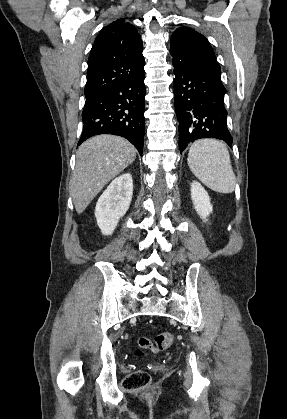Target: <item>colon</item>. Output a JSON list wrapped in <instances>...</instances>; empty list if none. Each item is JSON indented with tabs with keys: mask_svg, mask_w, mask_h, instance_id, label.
<instances>
[{
	"mask_svg": "<svg viewBox=\"0 0 287 419\" xmlns=\"http://www.w3.org/2000/svg\"><path fill=\"white\" fill-rule=\"evenodd\" d=\"M174 342V334L172 332H163L156 335L153 339L140 337L137 341L136 355L142 356L145 352L158 353L169 348ZM150 382V376L142 370L134 371L126 376L123 381V387L126 390H134L146 387Z\"/></svg>",
	"mask_w": 287,
	"mask_h": 419,
	"instance_id": "1",
	"label": "colon"
}]
</instances>
